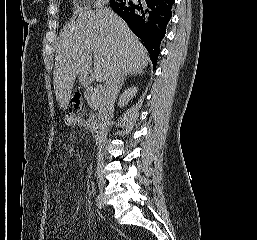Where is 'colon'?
<instances>
[{"label":"colon","instance_id":"obj_1","mask_svg":"<svg viewBox=\"0 0 257 240\" xmlns=\"http://www.w3.org/2000/svg\"><path fill=\"white\" fill-rule=\"evenodd\" d=\"M70 104L72 107L77 108L81 104V95L78 92H75L70 97Z\"/></svg>","mask_w":257,"mask_h":240}]
</instances>
